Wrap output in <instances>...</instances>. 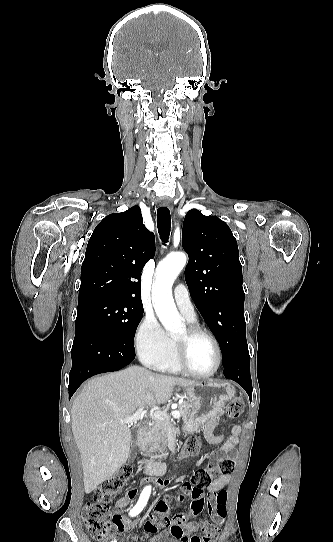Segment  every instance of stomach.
Here are the masks:
<instances>
[{"mask_svg": "<svg viewBox=\"0 0 333 542\" xmlns=\"http://www.w3.org/2000/svg\"><path fill=\"white\" fill-rule=\"evenodd\" d=\"M185 396L192 402L191 418L184 426L187 436H193L209 420L223 414L226 402L236 394L229 382H197L196 386L183 388Z\"/></svg>", "mask_w": 333, "mask_h": 542, "instance_id": "0dacf381", "label": "stomach"}]
</instances>
